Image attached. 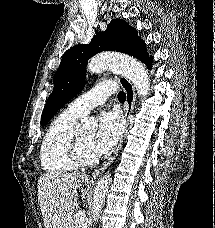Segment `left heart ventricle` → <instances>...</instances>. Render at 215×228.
<instances>
[{
  "mask_svg": "<svg viewBox=\"0 0 215 228\" xmlns=\"http://www.w3.org/2000/svg\"><path fill=\"white\" fill-rule=\"evenodd\" d=\"M76 135L85 154L89 157H95L96 155L92 149L94 132H83Z\"/></svg>",
  "mask_w": 215,
  "mask_h": 228,
  "instance_id": "left-heart-ventricle-1",
  "label": "left heart ventricle"
}]
</instances>
